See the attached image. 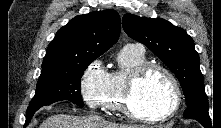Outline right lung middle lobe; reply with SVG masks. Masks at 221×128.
<instances>
[{
    "instance_id": "right-lung-middle-lobe-1",
    "label": "right lung middle lobe",
    "mask_w": 221,
    "mask_h": 128,
    "mask_svg": "<svg viewBox=\"0 0 221 128\" xmlns=\"http://www.w3.org/2000/svg\"><path fill=\"white\" fill-rule=\"evenodd\" d=\"M96 58L64 67L42 70L36 93L27 108V114L57 101L69 100L83 107L80 79L88 65Z\"/></svg>"
}]
</instances>
